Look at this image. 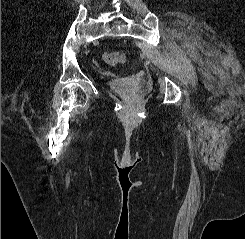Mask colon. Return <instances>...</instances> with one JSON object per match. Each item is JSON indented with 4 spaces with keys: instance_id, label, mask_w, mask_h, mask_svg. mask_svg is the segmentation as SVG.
Masks as SVG:
<instances>
[{
    "instance_id": "1",
    "label": "colon",
    "mask_w": 245,
    "mask_h": 239,
    "mask_svg": "<svg viewBox=\"0 0 245 239\" xmlns=\"http://www.w3.org/2000/svg\"><path fill=\"white\" fill-rule=\"evenodd\" d=\"M103 61L109 65H116L124 61V55L119 52H109L103 55Z\"/></svg>"
}]
</instances>
